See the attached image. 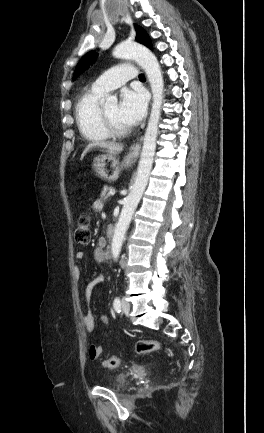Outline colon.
Segmentation results:
<instances>
[{
    "label": "colon",
    "mask_w": 264,
    "mask_h": 433,
    "mask_svg": "<svg viewBox=\"0 0 264 433\" xmlns=\"http://www.w3.org/2000/svg\"><path fill=\"white\" fill-rule=\"evenodd\" d=\"M75 243L81 247L87 246L91 241L90 221L87 216L79 219L78 225L74 232ZM162 349V344L156 340H138L135 344V350L139 354L157 352ZM122 360L118 356H110L103 360L105 368L114 369L121 365Z\"/></svg>",
    "instance_id": "obj_1"
}]
</instances>
